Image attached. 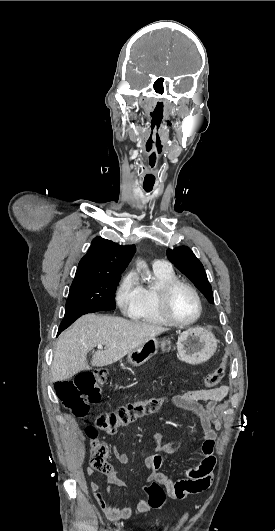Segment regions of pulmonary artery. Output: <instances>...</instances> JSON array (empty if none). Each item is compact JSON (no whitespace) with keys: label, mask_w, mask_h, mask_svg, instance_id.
<instances>
[{"label":"pulmonary artery","mask_w":275,"mask_h":531,"mask_svg":"<svg viewBox=\"0 0 275 531\" xmlns=\"http://www.w3.org/2000/svg\"><path fill=\"white\" fill-rule=\"evenodd\" d=\"M170 269V264L168 261H154L153 270L154 272H168Z\"/></svg>","instance_id":"1"}]
</instances>
